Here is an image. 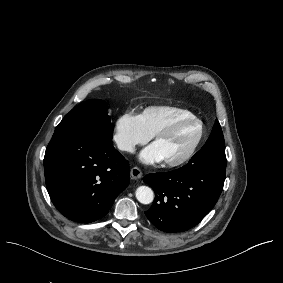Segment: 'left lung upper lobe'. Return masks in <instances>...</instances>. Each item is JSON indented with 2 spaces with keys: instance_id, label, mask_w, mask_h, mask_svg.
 Wrapping results in <instances>:
<instances>
[{
  "instance_id": "obj_1",
  "label": "left lung upper lobe",
  "mask_w": 283,
  "mask_h": 283,
  "mask_svg": "<svg viewBox=\"0 0 283 283\" xmlns=\"http://www.w3.org/2000/svg\"><path fill=\"white\" fill-rule=\"evenodd\" d=\"M211 144H218L220 147H225L222 129L220 127L218 120H216L211 135L208 138L207 142L205 143V145H211Z\"/></svg>"
}]
</instances>
